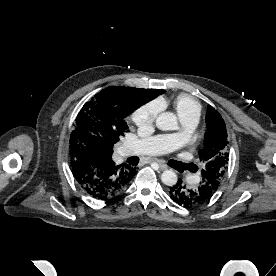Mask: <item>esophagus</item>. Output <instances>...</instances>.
Returning a JSON list of instances; mask_svg holds the SVG:
<instances>
[{
    "label": "esophagus",
    "instance_id": "1",
    "mask_svg": "<svg viewBox=\"0 0 276 276\" xmlns=\"http://www.w3.org/2000/svg\"><path fill=\"white\" fill-rule=\"evenodd\" d=\"M150 162H155L159 165L160 170H167L168 166L161 160L158 159H152Z\"/></svg>",
    "mask_w": 276,
    "mask_h": 276
}]
</instances>
